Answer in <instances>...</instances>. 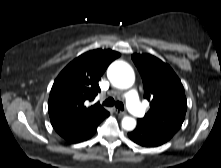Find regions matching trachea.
<instances>
[{
  "label": "trachea",
  "mask_w": 221,
  "mask_h": 168,
  "mask_svg": "<svg viewBox=\"0 0 221 168\" xmlns=\"http://www.w3.org/2000/svg\"><path fill=\"white\" fill-rule=\"evenodd\" d=\"M103 105L105 106H113L115 105L118 109L124 110V105L120 101H115L113 98H108L103 102Z\"/></svg>",
  "instance_id": "obj_1"
}]
</instances>
